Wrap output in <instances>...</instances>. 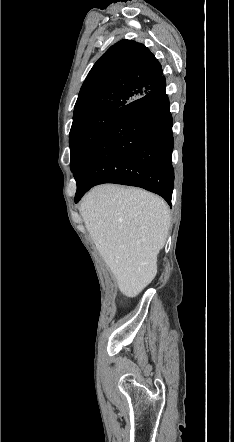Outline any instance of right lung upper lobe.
Instances as JSON below:
<instances>
[{
  "instance_id": "1",
  "label": "right lung upper lobe",
  "mask_w": 234,
  "mask_h": 442,
  "mask_svg": "<svg viewBox=\"0 0 234 442\" xmlns=\"http://www.w3.org/2000/svg\"><path fill=\"white\" fill-rule=\"evenodd\" d=\"M162 77V67L147 47L121 40L98 59L87 75L73 121L99 111L120 109L150 91Z\"/></svg>"
}]
</instances>
